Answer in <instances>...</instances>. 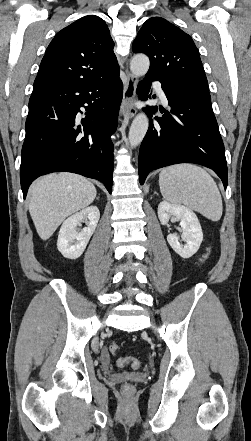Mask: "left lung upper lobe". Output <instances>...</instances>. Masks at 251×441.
Segmentation results:
<instances>
[{"mask_svg": "<svg viewBox=\"0 0 251 441\" xmlns=\"http://www.w3.org/2000/svg\"><path fill=\"white\" fill-rule=\"evenodd\" d=\"M150 59L146 77L193 85L209 91L198 49L192 38L160 17L148 19L132 44Z\"/></svg>", "mask_w": 251, "mask_h": 441, "instance_id": "left-lung-upper-lobe-1", "label": "left lung upper lobe"}]
</instances>
